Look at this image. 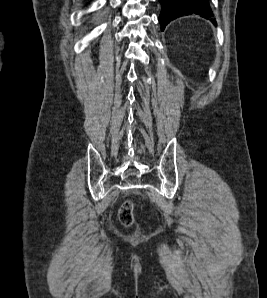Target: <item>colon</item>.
<instances>
[{"label": "colon", "mask_w": 267, "mask_h": 298, "mask_svg": "<svg viewBox=\"0 0 267 298\" xmlns=\"http://www.w3.org/2000/svg\"><path fill=\"white\" fill-rule=\"evenodd\" d=\"M133 207V203L127 201L122 205L119 211L120 222L126 227H129L134 223Z\"/></svg>", "instance_id": "obj_1"}]
</instances>
